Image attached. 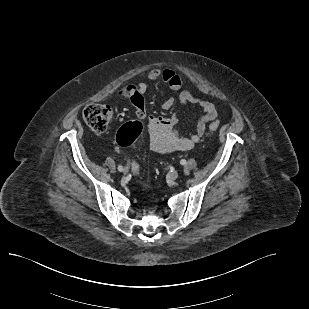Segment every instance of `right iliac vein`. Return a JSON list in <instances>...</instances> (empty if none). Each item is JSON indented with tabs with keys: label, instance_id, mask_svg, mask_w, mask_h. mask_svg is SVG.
Segmentation results:
<instances>
[{
	"label": "right iliac vein",
	"instance_id": "right-iliac-vein-1",
	"mask_svg": "<svg viewBox=\"0 0 309 309\" xmlns=\"http://www.w3.org/2000/svg\"><path fill=\"white\" fill-rule=\"evenodd\" d=\"M128 171H129V169H128L127 167L123 168V170H122V172H123L124 174H127Z\"/></svg>",
	"mask_w": 309,
	"mask_h": 309
}]
</instances>
